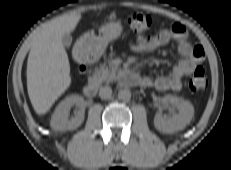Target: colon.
<instances>
[{"mask_svg": "<svg viewBox=\"0 0 231 170\" xmlns=\"http://www.w3.org/2000/svg\"><path fill=\"white\" fill-rule=\"evenodd\" d=\"M127 26L136 33H143L148 30L152 24L150 16L143 13H130L124 18ZM189 89L192 92H198L206 88L207 78L202 67L195 68L189 83Z\"/></svg>", "mask_w": 231, "mask_h": 170, "instance_id": "5ec220e1", "label": "colon"}]
</instances>
